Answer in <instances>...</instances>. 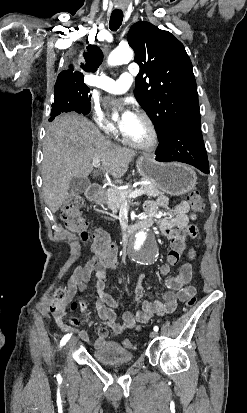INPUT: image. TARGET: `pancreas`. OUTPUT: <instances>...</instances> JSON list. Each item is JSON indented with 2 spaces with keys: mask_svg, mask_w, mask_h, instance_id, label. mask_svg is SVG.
I'll return each instance as SVG.
<instances>
[{
  "mask_svg": "<svg viewBox=\"0 0 247 413\" xmlns=\"http://www.w3.org/2000/svg\"><path fill=\"white\" fill-rule=\"evenodd\" d=\"M125 186H131L130 182H126ZM140 188L145 190L148 196H160V194H163V192H161L157 186H154V184H140ZM124 190H127V194L133 192L131 188H124ZM127 194L124 196L118 188H107L105 196L107 198L108 209L113 211V213H117L118 209H121V204L124 200H127V202L128 200H131Z\"/></svg>",
  "mask_w": 247,
  "mask_h": 413,
  "instance_id": "obj_1",
  "label": "pancreas"
}]
</instances>
